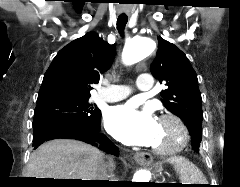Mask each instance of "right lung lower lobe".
Instances as JSON below:
<instances>
[{"label":"right lung lower lobe","instance_id":"1","mask_svg":"<svg viewBox=\"0 0 240 187\" xmlns=\"http://www.w3.org/2000/svg\"><path fill=\"white\" fill-rule=\"evenodd\" d=\"M101 112L97 119L88 124H75L70 121L53 118L34 126L33 146L36 149L41 143L59 138H71L81 140L97 146L106 153L118 156V148L107 137L100 133ZM97 186L111 187V184Z\"/></svg>","mask_w":240,"mask_h":187}]
</instances>
